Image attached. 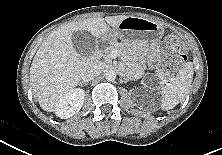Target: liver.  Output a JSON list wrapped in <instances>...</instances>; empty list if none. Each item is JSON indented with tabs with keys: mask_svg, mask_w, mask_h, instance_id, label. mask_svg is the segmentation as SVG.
Segmentation results:
<instances>
[{
	"mask_svg": "<svg viewBox=\"0 0 222 155\" xmlns=\"http://www.w3.org/2000/svg\"><path fill=\"white\" fill-rule=\"evenodd\" d=\"M127 16L96 17L68 23L48 35L34 56L30 68V84L41 108L52 112L56 103L75 89L83 68L91 64L72 44V34L83 30L100 38L115 28Z\"/></svg>",
	"mask_w": 222,
	"mask_h": 155,
	"instance_id": "1",
	"label": "liver"
}]
</instances>
